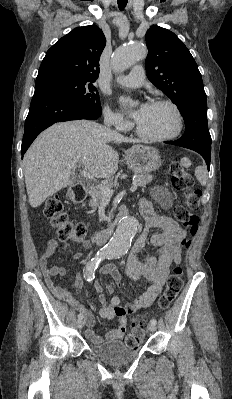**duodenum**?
Listing matches in <instances>:
<instances>
[{"mask_svg":"<svg viewBox=\"0 0 232 399\" xmlns=\"http://www.w3.org/2000/svg\"><path fill=\"white\" fill-rule=\"evenodd\" d=\"M88 190L84 185H76L68 192V198L73 203L83 201L87 196ZM113 232V227H108L93 233L92 240L97 244H105Z\"/></svg>","mask_w":232,"mask_h":399,"instance_id":"obj_1","label":"duodenum"}]
</instances>
